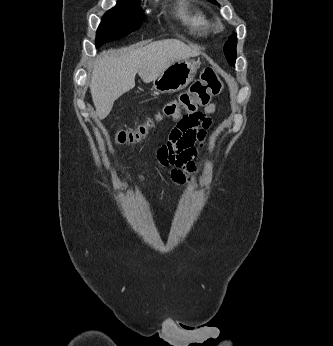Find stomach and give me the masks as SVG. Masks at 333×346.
<instances>
[{
    "instance_id": "obj_1",
    "label": "stomach",
    "mask_w": 333,
    "mask_h": 346,
    "mask_svg": "<svg viewBox=\"0 0 333 346\" xmlns=\"http://www.w3.org/2000/svg\"><path fill=\"white\" fill-rule=\"evenodd\" d=\"M199 61L183 59L176 61L153 80V87L159 93H174L184 89L194 79Z\"/></svg>"
}]
</instances>
